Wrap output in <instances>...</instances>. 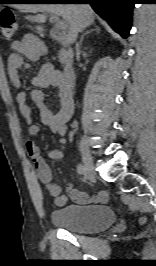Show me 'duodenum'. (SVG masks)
<instances>
[{"mask_svg": "<svg viewBox=\"0 0 156 266\" xmlns=\"http://www.w3.org/2000/svg\"><path fill=\"white\" fill-rule=\"evenodd\" d=\"M50 38L54 41L59 42L62 46L66 47L69 44V39L62 32L51 29L49 31ZM60 80L62 86L68 90H72L73 82H74V72L71 66H66L60 75Z\"/></svg>", "mask_w": 156, "mask_h": 266, "instance_id": "obj_1", "label": "duodenum"}]
</instances>
